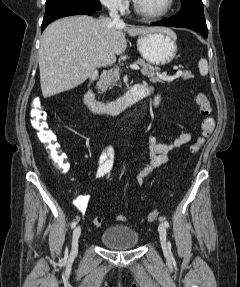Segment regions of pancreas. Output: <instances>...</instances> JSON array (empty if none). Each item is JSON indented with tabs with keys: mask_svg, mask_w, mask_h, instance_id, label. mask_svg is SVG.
Wrapping results in <instances>:
<instances>
[{
	"mask_svg": "<svg viewBox=\"0 0 240 287\" xmlns=\"http://www.w3.org/2000/svg\"><path fill=\"white\" fill-rule=\"evenodd\" d=\"M135 63L142 67L141 73L144 76H147L152 83H157V82L164 83L165 80L161 79L158 76V74H160L159 72L160 69L158 67L152 66L150 63H146L143 59H138ZM182 77L184 80H186V79L192 78L193 75L190 71H185L182 74ZM119 78H120V74L118 70L106 71L100 77V80L97 84L98 88L102 92L106 91L107 89H111L116 85Z\"/></svg>",
	"mask_w": 240,
	"mask_h": 287,
	"instance_id": "1",
	"label": "pancreas"
}]
</instances>
